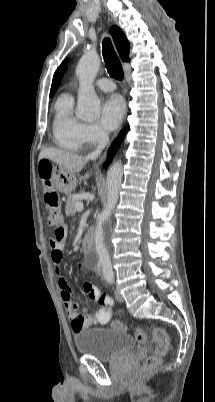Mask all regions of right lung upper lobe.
I'll use <instances>...</instances> for the list:
<instances>
[{"mask_svg":"<svg viewBox=\"0 0 215 402\" xmlns=\"http://www.w3.org/2000/svg\"><path fill=\"white\" fill-rule=\"evenodd\" d=\"M110 32H111V35L113 37L117 50H118L119 54L121 55L122 59L124 61H128L130 45H129V42H128L125 34L116 26H113L111 28ZM67 63H68V60L62 62L61 65L56 70L54 77H53V81H52L50 96H52L54 94V92L56 91V89L62 79V75L64 74V72L66 70Z\"/></svg>","mask_w":215,"mask_h":402,"instance_id":"right-lung-upper-lobe-1","label":"right lung upper lobe"}]
</instances>
